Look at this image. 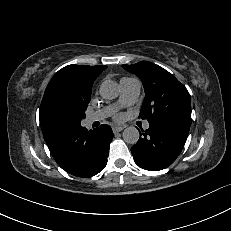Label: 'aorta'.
Returning a JSON list of instances; mask_svg holds the SVG:
<instances>
[{
	"label": "aorta",
	"instance_id": "1",
	"mask_svg": "<svg viewBox=\"0 0 231 231\" xmlns=\"http://www.w3.org/2000/svg\"><path fill=\"white\" fill-rule=\"evenodd\" d=\"M99 92L102 98L112 100L118 97L119 86L113 80H106L100 85ZM122 136L126 143L136 144L140 134L136 127L130 126L124 129Z\"/></svg>",
	"mask_w": 231,
	"mask_h": 231
}]
</instances>
